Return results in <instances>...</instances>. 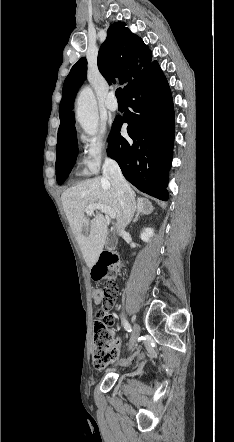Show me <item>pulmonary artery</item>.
Wrapping results in <instances>:
<instances>
[{
    "instance_id": "pulmonary-artery-1",
    "label": "pulmonary artery",
    "mask_w": 234,
    "mask_h": 442,
    "mask_svg": "<svg viewBox=\"0 0 234 442\" xmlns=\"http://www.w3.org/2000/svg\"><path fill=\"white\" fill-rule=\"evenodd\" d=\"M106 108L109 111L115 112L118 109V103L115 99V95L113 92H110L107 96L106 102H105Z\"/></svg>"
}]
</instances>
